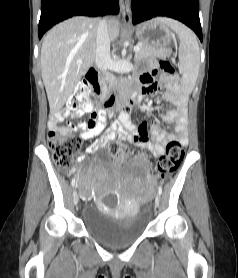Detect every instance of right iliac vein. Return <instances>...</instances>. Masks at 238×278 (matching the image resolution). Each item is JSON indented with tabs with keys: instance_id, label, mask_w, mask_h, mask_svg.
Wrapping results in <instances>:
<instances>
[{
	"instance_id": "obj_1",
	"label": "right iliac vein",
	"mask_w": 238,
	"mask_h": 278,
	"mask_svg": "<svg viewBox=\"0 0 238 278\" xmlns=\"http://www.w3.org/2000/svg\"><path fill=\"white\" fill-rule=\"evenodd\" d=\"M73 202H74L75 205H77L78 202H79V196H78L76 191L73 192Z\"/></svg>"
}]
</instances>
